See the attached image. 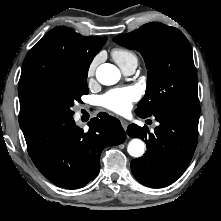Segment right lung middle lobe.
<instances>
[{
  "instance_id": "right-lung-middle-lobe-1",
  "label": "right lung middle lobe",
  "mask_w": 221,
  "mask_h": 221,
  "mask_svg": "<svg viewBox=\"0 0 221 221\" xmlns=\"http://www.w3.org/2000/svg\"><path fill=\"white\" fill-rule=\"evenodd\" d=\"M91 60L60 72L38 86L24 100L27 122L53 116H72V106L88 94L87 74Z\"/></svg>"
}]
</instances>
